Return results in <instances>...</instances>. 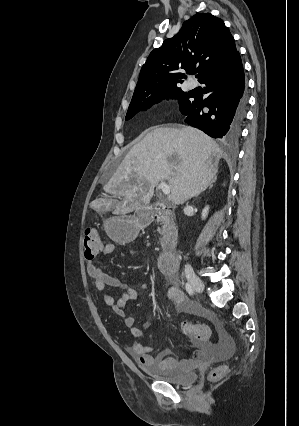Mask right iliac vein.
<instances>
[{"label": "right iliac vein", "mask_w": 299, "mask_h": 426, "mask_svg": "<svg viewBox=\"0 0 299 426\" xmlns=\"http://www.w3.org/2000/svg\"><path fill=\"white\" fill-rule=\"evenodd\" d=\"M185 273L192 288L196 292L202 293L204 290V284L202 280L194 273V271L191 268H187Z\"/></svg>", "instance_id": "right-iliac-vein-1"}]
</instances>
